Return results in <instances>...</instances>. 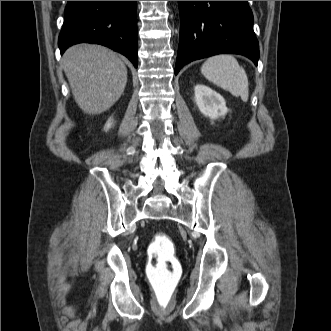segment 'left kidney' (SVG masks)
<instances>
[{
  "label": "left kidney",
  "instance_id": "obj_1",
  "mask_svg": "<svg viewBox=\"0 0 331 331\" xmlns=\"http://www.w3.org/2000/svg\"><path fill=\"white\" fill-rule=\"evenodd\" d=\"M194 91L196 105L203 115L217 119L227 114L226 102L219 93L203 84H197Z\"/></svg>",
  "mask_w": 331,
  "mask_h": 331
}]
</instances>
